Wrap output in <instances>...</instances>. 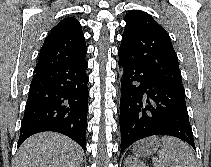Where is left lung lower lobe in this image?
<instances>
[{"mask_svg":"<svg viewBox=\"0 0 211 167\" xmlns=\"http://www.w3.org/2000/svg\"><path fill=\"white\" fill-rule=\"evenodd\" d=\"M123 69L120 99L121 152L135 141L151 135H170L194 149L185 92L158 79L129 60L119 48Z\"/></svg>","mask_w":211,"mask_h":167,"instance_id":"obj_1","label":"left lung lower lobe"}]
</instances>
